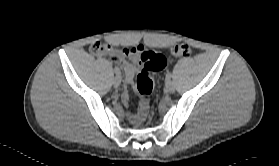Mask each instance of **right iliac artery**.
Listing matches in <instances>:
<instances>
[{"label":"right iliac artery","instance_id":"1","mask_svg":"<svg viewBox=\"0 0 279 166\" xmlns=\"http://www.w3.org/2000/svg\"><path fill=\"white\" fill-rule=\"evenodd\" d=\"M114 72L116 75H120V69L118 67L114 68Z\"/></svg>","mask_w":279,"mask_h":166}]
</instances>
